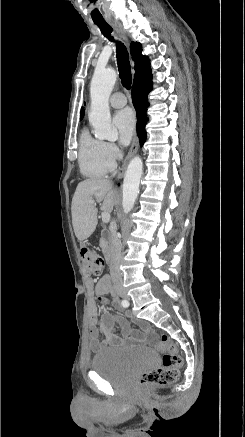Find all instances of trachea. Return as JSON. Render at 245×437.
I'll return each instance as SVG.
<instances>
[{
    "mask_svg": "<svg viewBox=\"0 0 245 437\" xmlns=\"http://www.w3.org/2000/svg\"><path fill=\"white\" fill-rule=\"evenodd\" d=\"M100 28L102 34L110 41H114L111 36L112 28L105 21H94ZM116 57L119 69V76L121 78L122 85L129 90L132 84V75L129 61V54L126 46L123 43L118 42L116 47Z\"/></svg>",
    "mask_w": 245,
    "mask_h": 437,
    "instance_id": "trachea-1",
    "label": "trachea"
}]
</instances>
